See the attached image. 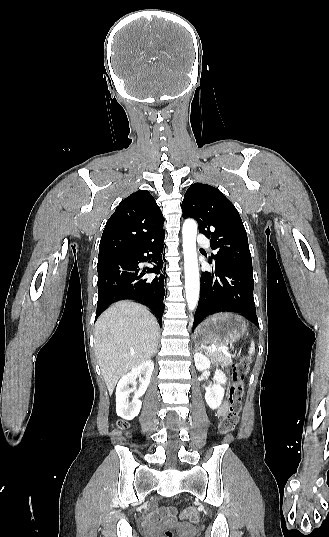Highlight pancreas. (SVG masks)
<instances>
[{
    "mask_svg": "<svg viewBox=\"0 0 329 537\" xmlns=\"http://www.w3.org/2000/svg\"><path fill=\"white\" fill-rule=\"evenodd\" d=\"M207 356L210 357L211 361L214 363H220L222 366H227L232 364V359L229 355H226L220 350L214 352H207Z\"/></svg>",
    "mask_w": 329,
    "mask_h": 537,
    "instance_id": "pancreas-1",
    "label": "pancreas"
}]
</instances>
